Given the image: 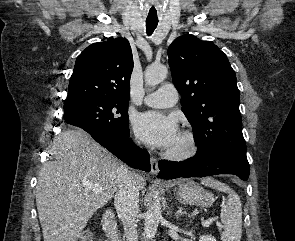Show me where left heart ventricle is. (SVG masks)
Masks as SVG:
<instances>
[{"instance_id": "left-heart-ventricle-1", "label": "left heart ventricle", "mask_w": 295, "mask_h": 241, "mask_svg": "<svg viewBox=\"0 0 295 241\" xmlns=\"http://www.w3.org/2000/svg\"><path fill=\"white\" fill-rule=\"evenodd\" d=\"M185 143L183 139L179 136L178 139L175 141V143L169 148L171 150H179L184 148Z\"/></svg>"}]
</instances>
